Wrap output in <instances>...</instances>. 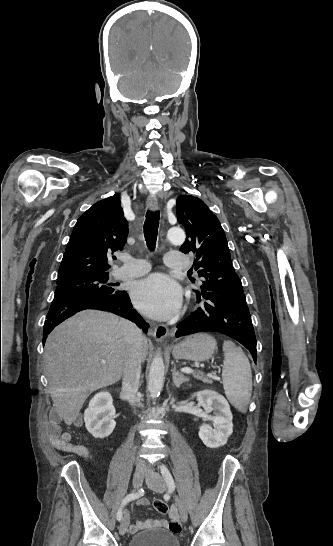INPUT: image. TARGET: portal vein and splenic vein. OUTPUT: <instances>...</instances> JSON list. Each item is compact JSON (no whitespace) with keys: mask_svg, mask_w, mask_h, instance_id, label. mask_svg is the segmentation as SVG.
<instances>
[{"mask_svg":"<svg viewBox=\"0 0 333 546\" xmlns=\"http://www.w3.org/2000/svg\"><path fill=\"white\" fill-rule=\"evenodd\" d=\"M101 363H102V364H105V363H106V360L102 359V360H101ZM181 372L186 373V374H192V373H194V370L191 369V368L185 367V368H182V369H181Z\"/></svg>","mask_w":333,"mask_h":546,"instance_id":"portal-vein-and-splenic-vein-1","label":"portal vein and splenic vein"}]
</instances>
